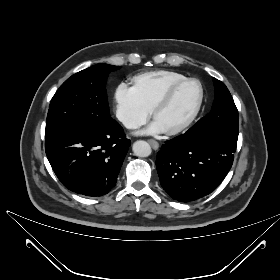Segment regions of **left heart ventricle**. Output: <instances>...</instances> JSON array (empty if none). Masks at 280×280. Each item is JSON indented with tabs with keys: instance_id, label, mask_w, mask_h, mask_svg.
Returning <instances> with one entry per match:
<instances>
[{
	"instance_id": "1",
	"label": "left heart ventricle",
	"mask_w": 280,
	"mask_h": 280,
	"mask_svg": "<svg viewBox=\"0 0 280 280\" xmlns=\"http://www.w3.org/2000/svg\"><path fill=\"white\" fill-rule=\"evenodd\" d=\"M199 97V87L196 83L180 86L170 101L155 115V121L162 130H169L182 124L192 113Z\"/></svg>"
}]
</instances>
